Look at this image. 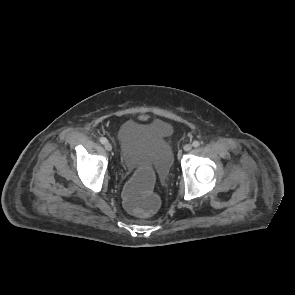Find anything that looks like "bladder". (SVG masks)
<instances>
[{"instance_id":"31cf9c89","label":"bladder","mask_w":295,"mask_h":295,"mask_svg":"<svg viewBox=\"0 0 295 295\" xmlns=\"http://www.w3.org/2000/svg\"><path fill=\"white\" fill-rule=\"evenodd\" d=\"M172 126L166 120H128L118 131V140L124 156V166L134 168L149 166L161 177H167L170 169L171 149L168 139Z\"/></svg>"}]
</instances>
